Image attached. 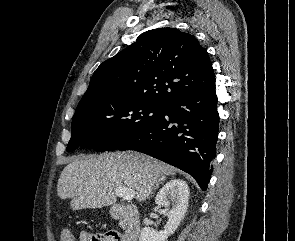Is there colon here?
I'll list each match as a JSON object with an SVG mask.
<instances>
[{
    "label": "colon",
    "instance_id": "5ec220e1",
    "mask_svg": "<svg viewBox=\"0 0 295 241\" xmlns=\"http://www.w3.org/2000/svg\"><path fill=\"white\" fill-rule=\"evenodd\" d=\"M60 241H74L73 234L69 230L62 231Z\"/></svg>",
    "mask_w": 295,
    "mask_h": 241
}]
</instances>
